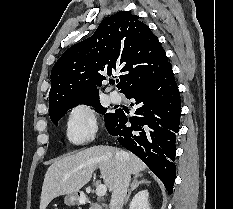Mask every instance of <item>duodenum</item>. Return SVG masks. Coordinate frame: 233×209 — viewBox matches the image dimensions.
Wrapping results in <instances>:
<instances>
[{
  "label": "duodenum",
  "mask_w": 233,
  "mask_h": 209,
  "mask_svg": "<svg viewBox=\"0 0 233 209\" xmlns=\"http://www.w3.org/2000/svg\"><path fill=\"white\" fill-rule=\"evenodd\" d=\"M80 201H81V203H88L89 198L86 196H82V197H80ZM104 206L107 207V204H105Z\"/></svg>",
  "instance_id": "410a0bca"
}]
</instances>
